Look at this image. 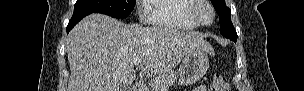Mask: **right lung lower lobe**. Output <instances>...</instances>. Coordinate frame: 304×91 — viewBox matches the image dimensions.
<instances>
[{"label":"right lung lower lobe","mask_w":304,"mask_h":91,"mask_svg":"<svg viewBox=\"0 0 304 91\" xmlns=\"http://www.w3.org/2000/svg\"><path fill=\"white\" fill-rule=\"evenodd\" d=\"M89 14H73L72 18L70 19L67 25V33L85 16Z\"/></svg>","instance_id":"98d812e1"}]
</instances>
